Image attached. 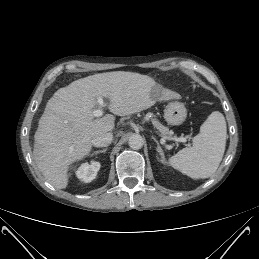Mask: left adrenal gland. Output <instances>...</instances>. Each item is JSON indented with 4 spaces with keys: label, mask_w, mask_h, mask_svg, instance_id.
I'll list each match as a JSON object with an SVG mask.
<instances>
[{
    "label": "left adrenal gland",
    "mask_w": 259,
    "mask_h": 259,
    "mask_svg": "<svg viewBox=\"0 0 259 259\" xmlns=\"http://www.w3.org/2000/svg\"><path fill=\"white\" fill-rule=\"evenodd\" d=\"M152 139H153V140L156 142V144H157V152H158L159 155L161 156L162 161L165 162V155H164V152H163V150H162V148H161V146H160L158 140H157L154 136H152Z\"/></svg>",
    "instance_id": "1"
}]
</instances>
